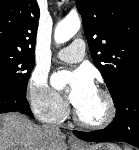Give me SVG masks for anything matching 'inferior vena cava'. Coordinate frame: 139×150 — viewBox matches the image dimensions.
Returning <instances> with one entry per match:
<instances>
[{
  "label": "inferior vena cava",
  "instance_id": "1",
  "mask_svg": "<svg viewBox=\"0 0 139 150\" xmlns=\"http://www.w3.org/2000/svg\"><path fill=\"white\" fill-rule=\"evenodd\" d=\"M43 129L48 132H59V128L56 125H43Z\"/></svg>",
  "mask_w": 139,
  "mask_h": 150
}]
</instances>
